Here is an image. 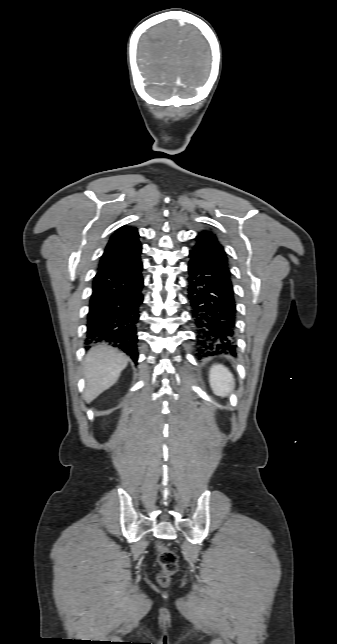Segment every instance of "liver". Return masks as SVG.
<instances>
[{
    "label": "liver",
    "mask_w": 337,
    "mask_h": 644,
    "mask_svg": "<svg viewBox=\"0 0 337 644\" xmlns=\"http://www.w3.org/2000/svg\"><path fill=\"white\" fill-rule=\"evenodd\" d=\"M129 358L119 350L106 346L92 347L85 357L83 375L86 380L84 399L92 402L112 387L126 368Z\"/></svg>",
    "instance_id": "obj_1"
}]
</instances>
